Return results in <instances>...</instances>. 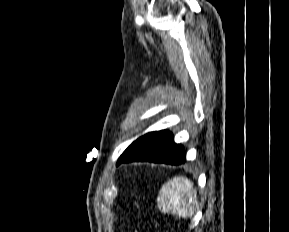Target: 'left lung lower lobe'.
I'll list each match as a JSON object with an SVG mask.
<instances>
[{
	"label": "left lung lower lobe",
	"mask_w": 289,
	"mask_h": 232,
	"mask_svg": "<svg viewBox=\"0 0 289 232\" xmlns=\"http://www.w3.org/2000/svg\"><path fill=\"white\" fill-rule=\"evenodd\" d=\"M134 161L180 165L185 162V150L182 145L174 143L173 135L169 131L163 130L154 134L136 152L121 163Z\"/></svg>",
	"instance_id": "left-lung-lower-lobe-1"
}]
</instances>
